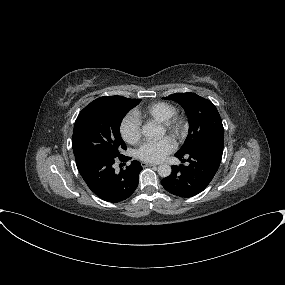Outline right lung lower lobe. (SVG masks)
<instances>
[{"mask_svg": "<svg viewBox=\"0 0 285 285\" xmlns=\"http://www.w3.org/2000/svg\"><path fill=\"white\" fill-rule=\"evenodd\" d=\"M75 159L78 171L88 187L107 202L116 203L127 199L138 186V176L142 167L136 160L116 173L113 165L117 158L91 154ZM119 159L126 162L131 158L121 156Z\"/></svg>", "mask_w": 285, "mask_h": 285, "instance_id": "right-lung-lower-lobe-1", "label": "right lung lower lobe"}]
</instances>
